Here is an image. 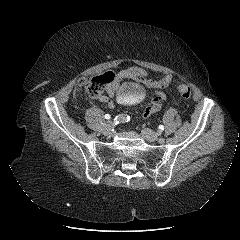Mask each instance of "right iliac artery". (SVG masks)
<instances>
[{"label": "right iliac artery", "instance_id": "right-iliac-artery-1", "mask_svg": "<svg viewBox=\"0 0 240 240\" xmlns=\"http://www.w3.org/2000/svg\"><path fill=\"white\" fill-rule=\"evenodd\" d=\"M112 120L111 119H109L107 122L109 123V122H111ZM130 121V116H128V115H126V114H119L118 116H116L115 118H114V123L115 124H119V123H126V122H129ZM106 121L104 122L105 124L107 123ZM100 126L101 127H104V124L101 122L100 123ZM98 127L99 129L101 128V127ZM97 130V132L99 133L100 132V130Z\"/></svg>", "mask_w": 240, "mask_h": 240}]
</instances>
